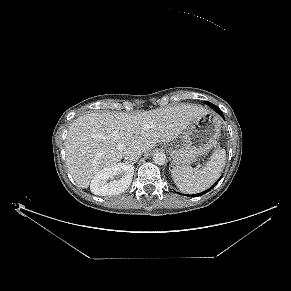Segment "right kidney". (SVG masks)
Instances as JSON below:
<instances>
[{
  "instance_id": "1",
  "label": "right kidney",
  "mask_w": 291,
  "mask_h": 291,
  "mask_svg": "<svg viewBox=\"0 0 291 291\" xmlns=\"http://www.w3.org/2000/svg\"><path fill=\"white\" fill-rule=\"evenodd\" d=\"M133 173L134 167L127 163L106 167L93 177L90 190L99 196L122 193L131 184Z\"/></svg>"
}]
</instances>
